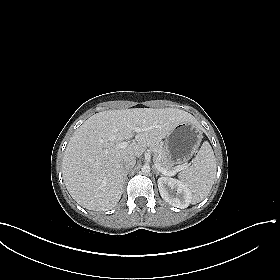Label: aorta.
I'll return each instance as SVG.
<instances>
[{
  "instance_id": "762f6f07",
  "label": "aorta",
  "mask_w": 280,
  "mask_h": 280,
  "mask_svg": "<svg viewBox=\"0 0 280 280\" xmlns=\"http://www.w3.org/2000/svg\"><path fill=\"white\" fill-rule=\"evenodd\" d=\"M141 171H142L144 174L149 173V172H150V166L147 165V164L143 165L142 168H141Z\"/></svg>"
}]
</instances>
